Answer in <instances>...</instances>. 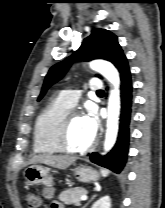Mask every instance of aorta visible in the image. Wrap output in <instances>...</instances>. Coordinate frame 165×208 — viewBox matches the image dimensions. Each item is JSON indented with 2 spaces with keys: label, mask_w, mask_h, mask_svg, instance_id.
<instances>
[{
  "label": "aorta",
  "mask_w": 165,
  "mask_h": 208,
  "mask_svg": "<svg viewBox=\"0 0 165 208\" xmlns=\"http://www.w3.org/2000/svg\"><path fill=\"white\" fill-rule=\"evenodd\" d=\"M90 68L101 73L112 85L108 100L107 130L104 141V151L108 152L114 145L118 135V123L120 114V78L117 69L108 61L94 60Z\"/></svg>",
  "instance_id": "aorta-1"
}]
</instances>
